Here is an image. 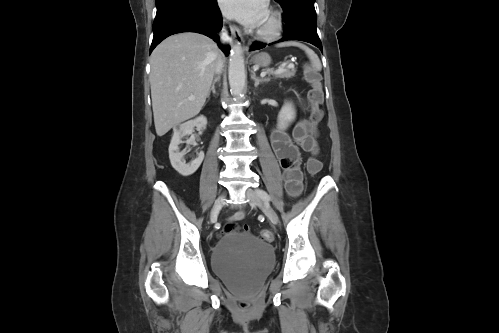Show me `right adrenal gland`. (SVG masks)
<instances>
[{"mask_svg": "<svg viewBox=\"0 0 499 333\" xmlns=\"http://www.w3.org/2000/svg\"><path fill=\"white\" fill-rule=\"evenodd\" d=\"M219 81H220V76H217V77L213 80L212 85H211V88H210V90H209V92H208V95H207V97H208V98L210 97L211 91H212L214 94L216 93V91H215V84H216L217 82H219Z\"/></svg>", "mask_w": 499, "mask_h": 333, "instance_id": "1", "label": "right adrenal gland"}]
</instances>
